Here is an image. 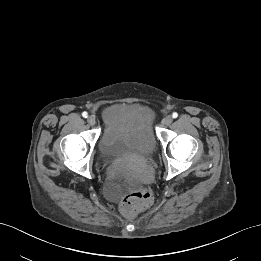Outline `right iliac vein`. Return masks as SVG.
<instances>
[{
	"instance_id": "obj_1",
	"label": "right iliac vein",
	"mask_w": 261,
	"mask_h": 261,
	"mask_svg": "<svg viewBox=\"0 0 261 261\" xmlns=\"http://www.w3.org/2000/svg\"><path fill=\"white\" fill-rule=\"evenodd\" d=\"M87 122H88V124L91 125V126L95 125V123H96V118H95V116H93V115L89 116V117L87 118Z\"/></svg>"
}]
</instances>
